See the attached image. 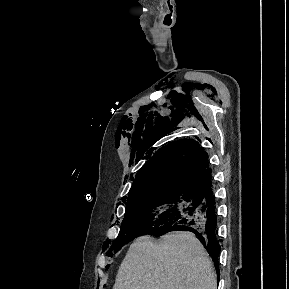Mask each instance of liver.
<instances>
[{
    "label": "liver",
    "instance_id": "6515ba94",
    "mask_svg": "<svg viewBox=\"0 0 289 289\" xmlns=\"http://www.w3.org/2000/svg\"><path fill=\"white\" fill-rule=\"evenodd\" d=\"M113 289H217L212 261L196 236L181 231L156 244L147 236L131 244Z\"/></svg>",
    "mask_w": 289,
    "mask_h": 289
}]
</instances>
